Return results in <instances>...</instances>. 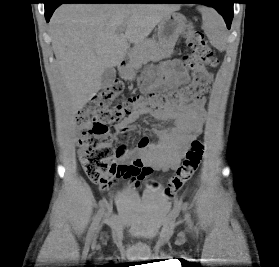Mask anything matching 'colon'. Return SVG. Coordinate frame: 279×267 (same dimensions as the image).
<instances>
[{
  "instance_id": "1",
  "label": "colon",
  "mask_w": 279,
  "mask_h": 267,
  "mask_svg": "<svg viewBox=\"0 0 279 267\" xmlns=\"http://www.w3.org/2000/svg\"><path fill=\"white\" fill-rule=\"evenodd\" d=\"M183 38L184 44L189 49L185 63L192 71V80L189 84L166 92H152L147 96H130L116 102L122 96L124 86L120 82H115L102 89L90 105L78 112L77 122L81 130L78 154L85 172L92 181L100 182L106 177L128 178L142 172L143 167L139 161H123L126 155L124 145L114 147L110 143V136L130 114L143 108L184 107L199 99L206 90L212 76L205 68L216 65L215 54L207 44L204 34L195 29L191 23L185 25ZM203 153V143L194 140L182 164L168 181L165 188L166 196H175L192 178L201 163Z\"/></svg>"
}]
</instances>
